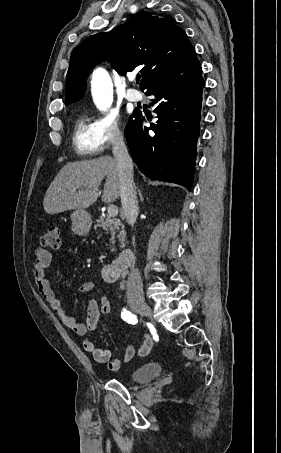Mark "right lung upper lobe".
Masks as SVG:
<instances>
[{
	"label": "right lung upper lobe",
	"instance_id": "right-lung-upper-lobe-1",
	"mask_svg": "<svg viewBox=\"0 0 281 453\" xmlns=\"http://www.w3.org/2000/svg\"><path fill=\"white\" fill-rule=\"evenodd\" d=\"M194 51L175 20L140 12L109 33L91 36L74 49L67 73L65 103L83 97L90 69L108 60L121 75L140 69V89L168 72Z\"/></svg>",
	"mask_w": 281,
	"mask_h": 453
}]
</instances>
